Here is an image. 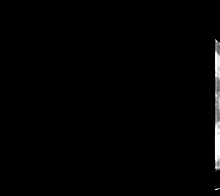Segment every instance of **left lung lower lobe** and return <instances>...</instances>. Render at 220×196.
I'll list each match as a JSON object with an SVG mask.
<instances>
[{"label":"left lung lower lobe","instance_id":"1","mask_svg":"<svg viewBox=\"0 0 220 196\" xmlns=\"http://www.w3.org/2000/svg\"><path fill=\"white\" fill-rule=\"evenodd\" d=\"M144 145L147 147H156V148H161L163 145H161L160 143L156 142L153 138H151L150 136H147L145 138V141H144Z\"/></svg>","mask_w":220,"mask_h":196}]
</instances>
